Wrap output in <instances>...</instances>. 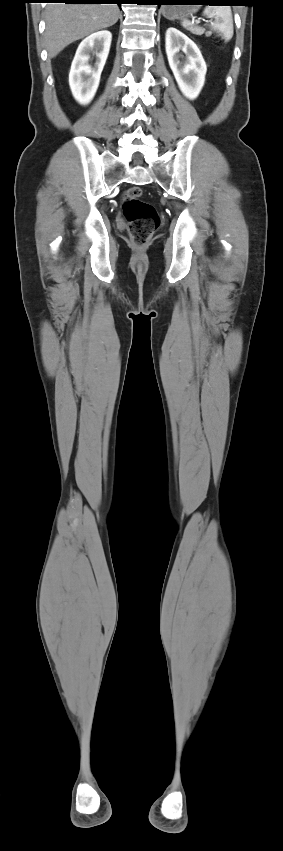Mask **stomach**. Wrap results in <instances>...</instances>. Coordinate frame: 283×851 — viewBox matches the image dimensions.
Here are the masks:
<instances>
[{
  "mask_svg": "<svg viewBox=\"0 0 283 851\" xmlns=\"http://www.w3.org/2000/svg\"><path fill=\"white\" fill-rule=\"evenodd\" d=\"M174 4L188 5H166L161 8L163 16L169 20L186 19L193 13L197 12L199 6L198 0H177ZM190 4V5H189Z\"/></svg>",
  "mask_w": 283,
  "mask_h": 851,
  "instance_id": "stomach-1",
  "label": "stomach"
}]
</instances>
